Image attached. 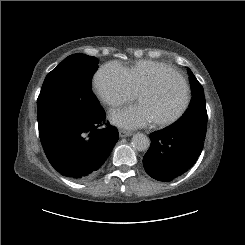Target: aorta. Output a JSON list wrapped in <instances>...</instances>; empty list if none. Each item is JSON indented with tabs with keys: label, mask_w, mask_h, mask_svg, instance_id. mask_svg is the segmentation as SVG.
<instances>
[{
	"label": "aorta",
	"mask_w": 245,
	"mask_h": 245,
	"mask_svg": "<svg viewBox=\"0 0 245 245\" xmlns=\"http://www.w3.org/2000/svg\"><path fill=\"white\" fill-rule=\"evenodd\" d=\"M131 144L137 151H146L150 146V140L145 134L137 133L132 137Z\"/></svg>",
	"instance_id": "obj_1"
}]
</instances>
